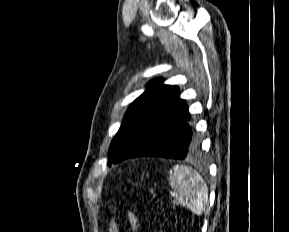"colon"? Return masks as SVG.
<instances>
[{"instance_id":"1","label":"colon","mask_w":289,"mask_h":232,"mask_svg":"<svg viewBox=\"0 0 289 232\" xmlns=\"http://www.w3.org/2000/svg\"><path fill=\"white\" fill-rule=\"evenodd\" d=\"M127 217L133 232H137L139 228V218L136 212L132 209L127 211ZM109 232H119V224L116 218L111 217L109 220Z\"/></svg>"}]
</instances>
